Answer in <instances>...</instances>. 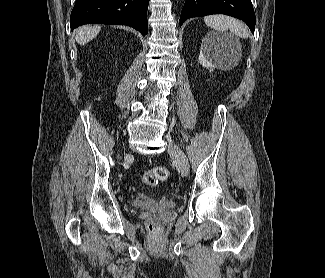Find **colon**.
<instances>
[{
  "label": "colon",
  "instance_id": "obj_1",
  "mask_svg": "<svg viewBox=\"0 0 325 278\" xmlns=\"http://www.w3.org/2000/svg\"><path fill=\"white\" fill-rule=\"evenodd\" d=\"M170 175V170L165 166H156L144 173L143 180L145 184L152 186L158 181L166 180ZM147 227L151 232L159 231V223L155 217H150L147 221Z\"/></svg>",
  "mask_w": 325,
  "mask_h": 278
}]
</instances>
